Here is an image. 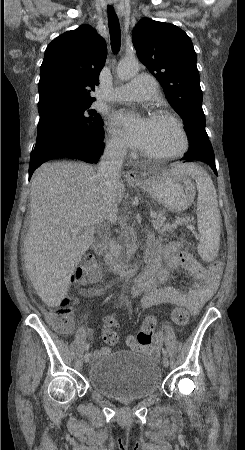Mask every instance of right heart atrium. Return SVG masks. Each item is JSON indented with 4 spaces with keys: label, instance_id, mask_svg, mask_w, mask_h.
I'll return each instance as SVG.
<instances>
[{
    "label": "right heart atrium",
    "instance_id": "right-heart-atrium-1",
    "mask_svg": "<svg viewBox=\"0 0 245 450\" xmlns=\"http://www.w3.org/2000/svg\"><path fill=\"white\" fill-rule=\"evenodd\" d=\"M109 148L116 152V153H122L125 149L124 143L121 139H119L116 136H112L108 143Z\"/></svg>",
    "mask_w": 245,
    "mask_h": 450
}]
</instances>
